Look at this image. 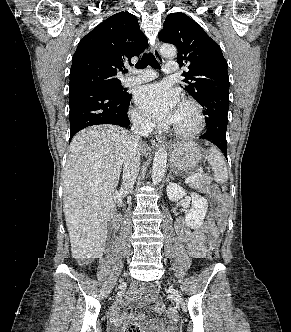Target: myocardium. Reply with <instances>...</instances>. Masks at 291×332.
Segmentation results:
<instances>
[{
	"instance_id": "1",
	"label": "myocardium",
	"mask_w": 291,
	"mask_h": 332,
	"mask_svg": "<svg viewBox=\"0 0 291 332\" xmlns=\"http://www.w3.org/2000/svg\"><path fill=\"white\" fill-rule=\"evenodd\" d=\"M181 105L187 106L192 110L194 124L188 129H182L172 125V132L180 137H192L199 134L205 127V117L201 106L198 102L192 99H183Z\"/></svg>"
}]
</instances>
